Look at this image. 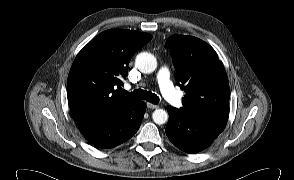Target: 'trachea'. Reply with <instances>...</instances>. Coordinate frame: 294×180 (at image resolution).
Wrapping results in <instances>:
<instances>
[{
	"label": "trachea",
	"mask_w": 294,
	"mask_h": 180,
	"mask_svg": "<svg viewBox=\"0 0 294 180\" xmlns=\"http://www.w3.org/2000/svg\"><path fill=\"white\" fill-rule=\"evenodd\" d=\"M124 93L127 96H129V97H131L133 99L146 100V101H148V102H150L152 104H155V105L158 104V102H159V97L156 94H154V93H152L150 91H145V90H142V89H136L131 93H129L127 91H124Z\"/></svg>",
	"instance_id": "1"
}]
</instances>
